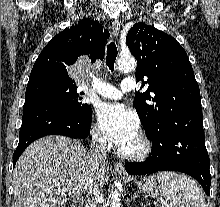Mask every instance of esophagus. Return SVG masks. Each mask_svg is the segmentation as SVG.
<instances>
[{
  "mask_svg": "<svg viewBox=\"0 0 220 207\" xmlns=\"http://www.w3.org/2000/svg\"><path fill=\"white\" fill-rule=\"evenodd\" d=\"M120 32V23L118 20L112 21V34L115 38H118ZM115 170L120 174H126L124 165L121 162L114 164Z\"/></svg>",
  "mask_w": 220,
  "mask_h": 207,
  "instance_id": "obj_1",
  "label": "esophagus"
}]
</instances>
